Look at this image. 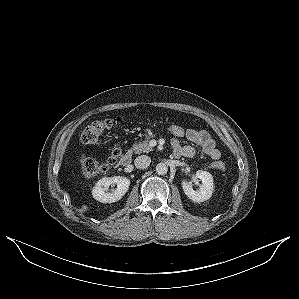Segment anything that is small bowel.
Here are the masks:
<instances>
[{
    "label": "small bowel",
    "mask_w": 299,
    "mask_h": 299,
    "mask_svg": "<svg viewBox=\"0 0 299 299\" xmlns=\"http://www.w3.org/2000/svg\"><path fill=\"white\" fill-rule=\"evenodd\" d=\"M186 139L198 145L201 148V152L213 160L217 161L221 158V152L216 148V143L208 131L189 128ZM172 147L174 154L177 156L190 158L196 154V149L193 146H181L177 139L172 140Z\"/></svg>",
    "instance_id": "1"
}]
</instances>
